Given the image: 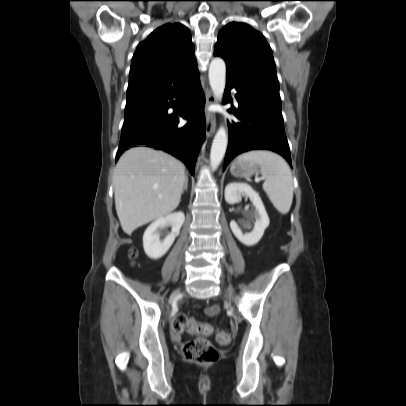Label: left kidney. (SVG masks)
<instances>
[{
    "instance_id": "left-kidney-1",
    "label": "left kidney",
    "mask_w": 406,
    "mask_h": 406,
    "mask_svg": "<svg viewBox=\"0 0 406 406\" xmlns=\"http://www.w3.org/2000/svg\"><path fill=\"white\" fill-rule=\"evenodd\" d=\"M242 197H248L255 209L248 213L250 221L244 223V228L252 227L251 221L254 218L253 230L250 233H243L238 224L232 220L230 228L235 237L246 246H254L262 238L265 229L269 225V217L259 194L246 183H230L225 188V200L228 204H235Z\"/></svg>"
}]
</instances>
